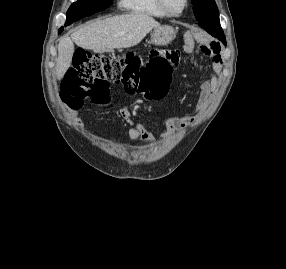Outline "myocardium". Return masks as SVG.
I'll return each mask as SVG.
<instances>
[{
    "instance_id": "myocardium-1",
    "label": "myocardium",
    "mask_w": 286,
    "mask_h": 269,
    "mask_svg": "<svg viewBox=\"0 0 286 269\" xmlns=\"http://www.w3.org/2000/svg\"><path fill=\"white\" fill-rule=\"evenodd\" d=\"M161 10L169 17L181 16L188 7L189 0H183V7L179 12H175L168 6L167 0H157Z\"/></svg>"
}]
</instances>
